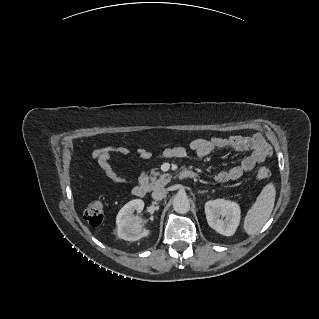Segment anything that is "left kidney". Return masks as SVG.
Wrapping results in <instances>:
<instances>
[{"label": "left kidney", "mask_w": 319, "mask_h": 319, "mask_svg": "<svg viewBox=\"0 0 319 319\" xmlns=\"http://www.w3.org/2000/svg\"><path fill=\"white\" fill-rule=\"evenodd\" d=\"M208 225L224 236H232L240 222V206L230 200L215 199L205 203Z\"/></svg>", "instance_id": "5707ae66"}]
</instances>
